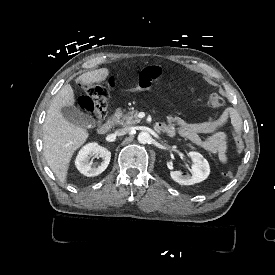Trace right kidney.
I'll use <instances>...</instances> for the list:
<instances>
[{
    "mask_svg": "<svg viewBox=\"0 0 275 275\" xmlns=\"http://www.w3.org/2000/svg\"><path fill=\"white\" fill-rule=\"evenodd\" d=\"M94 156H99L103 158L96 168L92 167L89 162L90 158ZM111 159V151L105 147L99 146L96 143H91L85 146L79 153L76 159V167L85 176L92 177L101 174L109 165Z\"/></svg>",
    "mask_w": 275,
    "mask_h": 275,
    "instance_id": "obj_1",
    "label": "right kidney"
}]
</instances>
